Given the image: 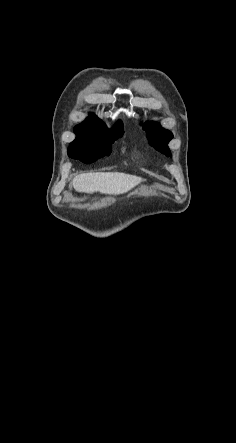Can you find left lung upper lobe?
Instances as JSON below:
<instances>
[{"label":"left lung upper lobe","mask_w":236,"mask_h":443,"mask_svg":"<svg viewBox=\"0 0 236 443\" xmlns=\"http://www.w3.org/2000/svg\"><path fill=\"white\" fill-rule=\"evenodd\" d=\"M143 130L146 131L150 143L159 151L167 156H170V150L167 147L168 142L172 139L173 134L166 129H163L155 122L143 124Z\"/></svg>","instance_id":"obj_1"}]
</instances>
